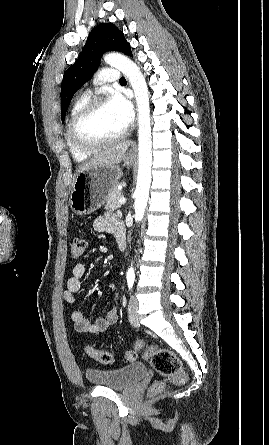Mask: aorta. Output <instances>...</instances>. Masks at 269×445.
I'll use <instances>...</instances> for the list:
<instances>
[{"instance_id":"1","label":"aorta","mask_w":269,"mask_h":445,"mask_svg":"<svg viewBox=\"0 0 269 445\" xmlns=\"http://www.w3.org/2000/svg\"><path fill=\"white\" fill-rule=\"evenodd\" d=\"M108 65L119 69L129 80L136 99L138 112V176L135 190V218L141 221L149 198L152 166V135L150 124L149 93L139 67L127 57L109 53L104 56ZM127 275H134L132 267Z\"/></svg>"}]
</instances>
